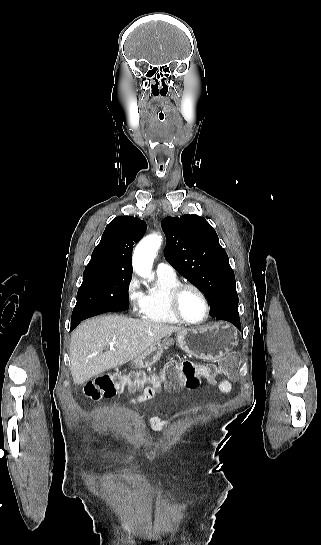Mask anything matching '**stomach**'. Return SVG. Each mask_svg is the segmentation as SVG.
<instances>
[{
    "instance_id": "1",
    "label": "stomach",
    "mask_w": 321,
    "mask_h": 545,
    "mask_svg": "<svg viewBox=\"0 0 321 545\" xmlns=\"http://www.w3.org/2000/svg\"><path fill=\"white\" fill-rule=\"evenodd\" d=\"M176 345L187 355H193L196 359L217 361L224 357L238 345V331L225 321L213 323L208 327L199 329H185L176 333ZM174 345V339L166 337L163 343H155L153 347L136 357L132 363V369H149L159 361L164 349Z\"/></svg>"
}]
</instances>
